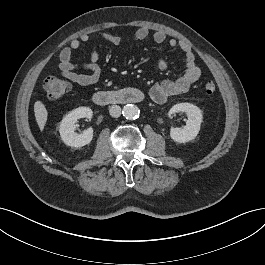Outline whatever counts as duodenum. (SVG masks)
Listing matches in <instances>:
<instances>
[{
  "label": "duodenum",
  "instance_id": "duodenum-1",
  "mask_svg": "<svg viewBox=\"0 0 265 265\" xmlns=\"http://www.w3.org/2000/svg\"><path fill=\"white\" fill-rule=\"evenodd\" d=\"M142 91L136 88L123 90L98 91L93 94V102L100 106L113 104H134L143 100Z\"/></svg>",
  "mask_w": 265,
  "mask_h": 265
}]
</instances>
